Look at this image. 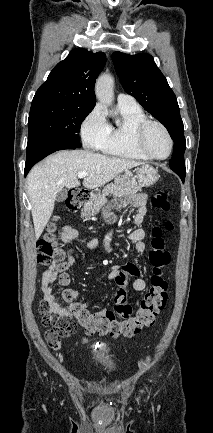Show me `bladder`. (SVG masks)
Listing matches in <instances>:
<instances>
[{
  "mask_svg": "<svg viewBox=\"0 0 213 433\" xmlns=\"http://www.w3.org/2000/svg\"><path fill=\"white\" fill-rule=\"evenodd\" d=\"M91 359L108 371H112L116 368L113 350L106 344H101L92 350Z\"/></svg>",
  "mask_w": 213,
  "mask_h": 433,
  "instance_id": "bladder-1",
  "label": "bladder"
}]
</instances>
